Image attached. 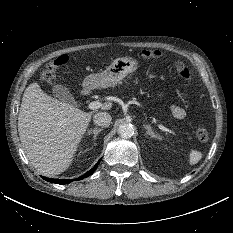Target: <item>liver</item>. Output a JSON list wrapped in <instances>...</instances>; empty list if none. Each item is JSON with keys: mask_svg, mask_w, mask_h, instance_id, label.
I'll list each match as a JSON object with an SVG mask.
<instances>
[{"mask_svg": "<svg viewBox=\"0 0 233 233\" xmlns=\"http://www.w3.org/2000/svg\"><path fill=\"white\" fill-rule=\"evenodd\" d=\"M110 108V103L103 106ZM92 114L49 96L38 83L25 89L18 131L25 154L39 173L54 176L69 167Z\"/></svg>", "mask_w": 233, "mask_h": 233, "instance_id": "1", "label": "liver"}]
</instances>
